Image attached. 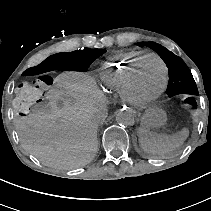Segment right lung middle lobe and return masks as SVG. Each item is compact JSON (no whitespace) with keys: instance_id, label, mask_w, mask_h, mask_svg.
I'll list each match as a JSON object with an SVG mask.
<instances>
[{"instance_id":"right-lung-middle-lobe-1","label":"right lung middle lobe","mask_w":211,"mask_h":211,"mask_svg":"<svg viewBox=\"0 0 211 211\" xmlns=\"http://www.w3.org/2000/svg\"><path fill=\"white\" fill-rule=\"evenodd\" d=\"M82 52V58L84 61V69L83 70H87V68L89 67V65L99 56H101L103 53L106 52V50H102V49H85V50H81Z\"/></svg>"}]
</instances>
